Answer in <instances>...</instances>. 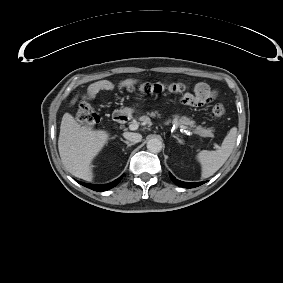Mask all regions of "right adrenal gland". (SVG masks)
Returning a JSON list of instances; mask_svg holds the SVG:
<instances>
[{"label":"right adrenal gland","instance_id":"1","mask_svg":"<svg viewBox=\"0 0 283 283\" xmlns=\"http://www.w3.org/2000/svg\"><path fill=\"white\" fill-rule=\"evenodd\" d=\"M122 140V139H121ZM123 142H125L128 146L133 145V143H129L128 141L122 140Z\"/></svg>","mask_w":283,"mask_h":283}]
</instances>
